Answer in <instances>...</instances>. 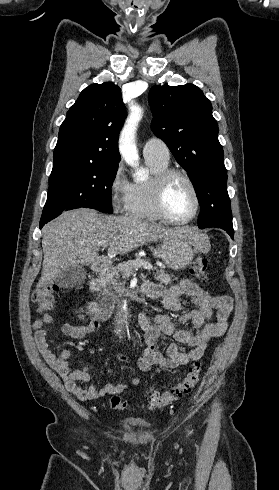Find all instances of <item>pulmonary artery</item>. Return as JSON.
I'll use <instances>...</instances> for the list:
<instances>
[{
  "mask_svg": "<svg viewBox=\"0 0 279 490\" xmlns=\"http://www.w3.org/2000/svg\"><path fill=\"white\" fill-rule=\"evenodd\" d=\"M143 155L145 158H156L167 161L170 159V150L162 138L152 136L143 146Z\"/></svg>",
  "mask_w": 279,
  "mask_h": 490,
  "instance_id": "obj_1",
  "label": "pulmonary artery"
}]
</instances>
